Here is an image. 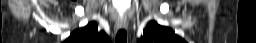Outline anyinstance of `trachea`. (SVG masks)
Masks as SVG:
<instances>
[{"mask_svg": "<svg viewBox=\"0 0 256 43\" xmlns=\"http://www.w3.org/2000/svg\"><path fill=\"white\" fill-rule=\"evenodd\" d=\"M116 43H127V32L125 29H120L117 32Z\"/></svg>", "mask_w": 256, "mask_h": 43, "instance_id": "3493384b", "label": "trachea"}]
</instances>
